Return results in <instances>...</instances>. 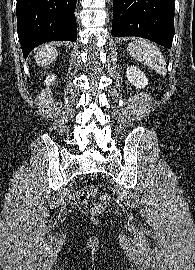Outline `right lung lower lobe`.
<instances>
[{"instance_id":"right-lung-lower-lobe-1","label":"right lung lower lobe","mask_w":195,"mask_h":270,"mask_svg":"<svg viewBox=\"0 0 195 270\" xmlns=\"http://www.w3.org/2000/svg\"><path fill=\"white\" fill-rule=\"evenodd\" d=\"M76 0H17V32L24 57L49 41H75Z\"/></svg>"}]
</instances>
